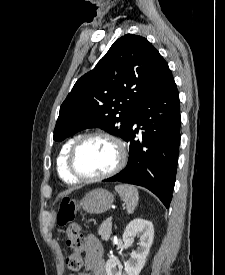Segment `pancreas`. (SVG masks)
<instances>
[{
    "instance_id": "1",
    "label": "pancreas",
    "mask_w": 225,
    "mask_h": 275,
    "mask_svg": "<svg viewBox=\"0 0 225 275\" xmlns=\"http://www.w3.org/2000/svg\"><path fill=\"white\" fill-rule=\"evenodd\" d=\"M112 233V222L104 221L99 227L98 234L101 236V239L104 241L109 240Z\"/></svg>"
}]
</instances>
